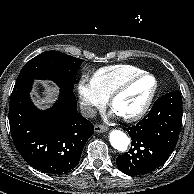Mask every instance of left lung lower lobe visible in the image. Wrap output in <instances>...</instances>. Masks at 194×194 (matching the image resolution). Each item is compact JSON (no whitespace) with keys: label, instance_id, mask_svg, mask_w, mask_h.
I'll use <instances>...</instances> for the list:
<instances>
[{"label":"left lung lower lobe","instance_id":"1","mask_svg":"<svg viewBox=\"0 0 194 194\" xmlns=\"http://www.w3.org/2000/svg\"><path fill=\"white\" fill-rule=\"evenodd\" d=\"M182 96L176 90L161 96L139 123L127 128L132 144L116 159L118 168L130 176L152 172L173 152L182 126Z\"/></svg>","mask_w":194,"mask_h":194}]
</instances>
